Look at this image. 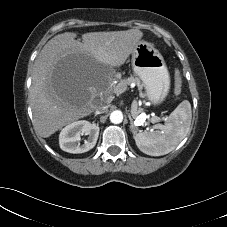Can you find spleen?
<instances>
[{"mask_svg":"<svg viewBox=\"0 0 227 227\" xmlns=\"http://www.w3.org/2000/svg\"><path fill=\"white\" fill-rule=\"evenodd\" d=\"M192 119L191 104L182 101L169 115L160 130L134 135L137 147L150 156H162L173 151L189 132Z\"/></svg>","mask_w":227,"mask_h":227,"instance_id":"obj_1","label":"spleen"}]
</instances>
